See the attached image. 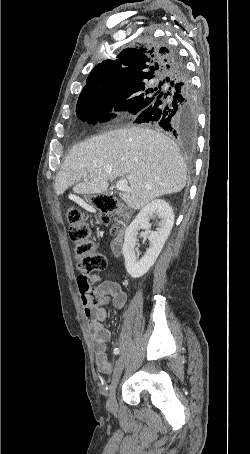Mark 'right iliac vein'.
Instances as JSON below:
<instances>
[{
    "mask_svg": "<svg viewBox=\"0 0 250 454\" xmlns=\"http://www.w3.org/2000/svg\"><path fill=\"white\" fill-rule=\"evenodd\" d=\"M123 368H124V356L120 355L117 360L115 369H114L112 382H111L110 390H109V397H108V401H107V408L111 412L115 411L116 407H117L115 393H116V387L119 383Z\"/></svg>",
    "mask_w": 250,
    "mask_h": 454,
    "instance_id": "1",
    "label": "right iliac vein"
}]
</instances>
